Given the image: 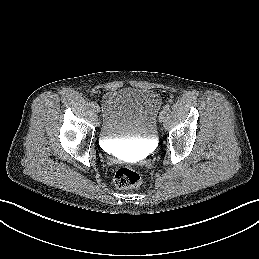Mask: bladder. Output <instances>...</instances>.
<instances>
[{
  "mask_svg": "<svg viewBox=\"0 0 259 259\" xmlns=\"http://www.w3.org/2000/svg\"><path fill=\"white\" fill-rule=\"evenodd\" d=\"M160 105V95L150 89L128 87L107 92L102 98L100 138L108 143L152 142Z\"/></svg>",
  "mask_w": 259,
  "mask_h": 259,
  "instance_id": "31cf9c89",
  "label": "bladder"
}]
</instances>
